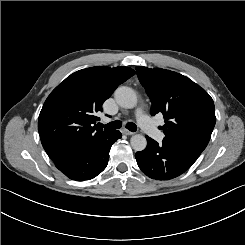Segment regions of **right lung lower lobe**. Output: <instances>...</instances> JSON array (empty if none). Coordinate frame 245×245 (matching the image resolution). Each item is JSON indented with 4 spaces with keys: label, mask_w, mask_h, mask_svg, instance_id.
<instances>
[{
    "label": "right lung lower lobe",
    "mask_w": 245,
    "mask_h": 245,
    "mask_svg": "<svg viewBox=\"0 0 245 245\" xmlns=\"http://www.w3.org/2000/svg\"><path fill=\"white\" fill-rule=\"evenodd\" d=\"M121 137L119 131L112 130L88 143L67 149L53 162L63 174L72 180H90L106 168L109 150L112 144Z\"/></svg>",
    "instance_id": "98d812e1"
}]
</instances>
